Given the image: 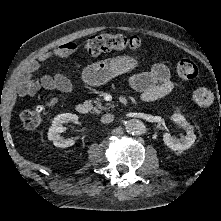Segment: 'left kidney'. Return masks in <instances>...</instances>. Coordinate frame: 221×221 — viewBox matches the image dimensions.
Segmentation results:
<instances>
[{
    "label": "left kidney",
    "instance_id": "5707ae66",
    "mask_svg": "<svg viewBox=\"0 0 221 221\" xmlns=\"http://www.w3.org/2000/svg\"><path fill=\"white\" fill-rule=\"evenodd\" d=\"M172 120L174 123L183 127L186 130V136L177 138L171 136L170 133H165L163 135L164 143L174 151H183L191 147V145L196 140V135L193 131V126H191L185 119V117L179 113H174L172 115Z\"/></svg>",
    "mask_w": 221,
    "mask_h": 221
}]
</instances>
